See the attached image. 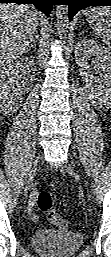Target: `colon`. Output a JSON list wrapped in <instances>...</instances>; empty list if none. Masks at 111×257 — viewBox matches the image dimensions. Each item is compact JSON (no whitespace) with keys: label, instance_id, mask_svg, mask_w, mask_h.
Segmentation results:
<instances>
[{"label":"colon","instance_id":"colon-1","mask_svg":"<svg viewBox=\"0 0 111 257\" xmlns=\"http://www.w3.org/2000/svg\"><path fill=\"white\" fill-rule=\"evenodd\" d=\"M38 209L45 215L46 219L56 227L67 230L70 227L68 220L64 219L53 207L52 195L48 191H40L37 194Z\"/></svg>","mask_w":111,"mask_h":257}]
</instances>
